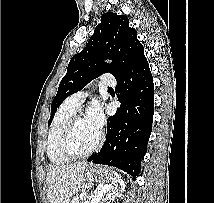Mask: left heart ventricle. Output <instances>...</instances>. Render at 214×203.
<instances>
[{"label":"left heart ventricle","instance_id":"1","mask_svg":"<svg viewBox=\"0 0 214 203\" xmlns=\"http://www.w3.org/2000/svg\"><path fill=\"white\" fill-rule=\"evenodd\" d=\"M98 136L99 131L93 128L85 118H81L77 121L73 132L72 148L76 152H85L95 144Z\"/></svg>","mask_w":214,"mask_h":203}]
</instances>
